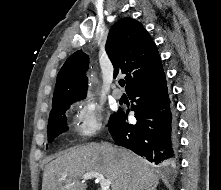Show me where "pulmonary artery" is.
Listing matches in <instances>:
<instances>
[{
    "label": "pulmonary artery",
    "instance_id": "1",
    "mask_svg": "<svg viewBox=\"0 0 221 190\" xmlns=\"http://www.w3.org/2000/svg\"><path fill=\"white\" fill-rule=\"evenodd\" d=\"M112 94L115 99H121L123 96L122 90L117 87L113 89Z\"/></svg>",
    "mask_w": 221,
    "mask_h": 190
}]
</instances>
